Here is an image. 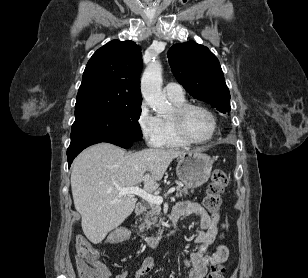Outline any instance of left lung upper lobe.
<instances>
[{
  "label": "left lung upper lobe",
  "mask_w": 308,
  "mask_h": 278,
  "mask_svg": "<svg viewBox=\"0 0 308 278\" xmlns=\"http://www.w3.org/2000/svg\"><path fill=\"white\" fill-rule=\"evenodd\" d=\"M167 56L178 82L194 98L222 113L230 112V93L217 57L194 41L173 45Z\"/></svg>",
  "instance_id": "1"
}]
</instances>
